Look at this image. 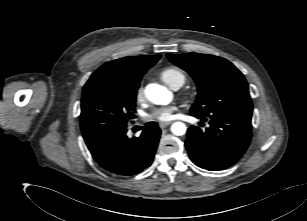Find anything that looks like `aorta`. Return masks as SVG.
<instances>
[{
	"label": "aorta",
	"mask_w": 307,
	"mask_h": 221,
	"mask_svg": "<svg viewBox=\"0 0 307 221\" xmlns=\"http://www.w3.org/2000/svg\"><path fill=\"white\" fill-rule=\"evenodd\" d=\"M145 95L148 100L157 105H167L172 101V93L166 87L151 83L145 88ZM187 127L182 122H175L171 126V132L176 136L186 133Z\"/></svg>",
	"instance_id": "aorta-1"
}]
</instances>
